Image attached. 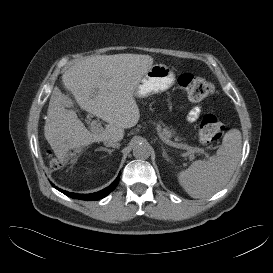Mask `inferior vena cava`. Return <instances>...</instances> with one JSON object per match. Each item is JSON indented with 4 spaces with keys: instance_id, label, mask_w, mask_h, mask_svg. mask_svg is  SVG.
Returning a JSON list of instances; mask_svg holds the SVG:
<instances>
[{
    "instance_id": "602c4592",
    "label": "inferior vena cava",
    "mask_w": 273,
    "mask_h": 273,
    "mask_svg": "<svg viewBox=\"0 0 273 273\" xmlns=\"http://www.w3.org/2000/svg\"><path fill=\"white\" fill-rule=\"evenodd\" d=\"M103 143L107 147L118 148L120 146L119 141L114 138H106L103 140Z\"/></svg>"
}]
</instances>
